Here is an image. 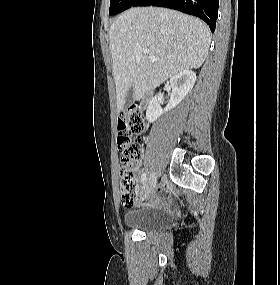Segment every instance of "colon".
<instances>
[{
    "label": "colon",
    "mask_w": 280,
    "mask_h": 285,
    "mask_svg": "<svg viewBox=\"0 0 280 285\" xmlns=\"http://www.w3.org/2000/svg\"><path fill=\"white\" fill-rule=\"evenodd\" d=\"M146 123L142 112L137 108H129L119 116L118 149L120 161V197L124 206H132L137 196V179L130 171V163L141 157L142 136Z\"/></svg>",
    "instance_id": "5ec220e1"
}]
</instances>
